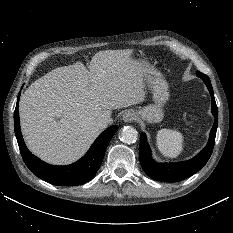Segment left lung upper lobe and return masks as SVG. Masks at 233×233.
I'll use <instances>...</instances> for the list:
<instances>
[{"instance_id": "1", "label": "left lung upper lobe", "mask_w": 233, "mask_h": 233, "mask_svg": "<svg viewBox=\"0 0 233 233\" xmlns=\"http://www.w3.org/2000/svg\"><path fill=\"white\" fill-rule=\"evenodd\" d=\"M198 74H202V73L198 71V72H197V75H198Z\"/></svg>"}]
</instances>
